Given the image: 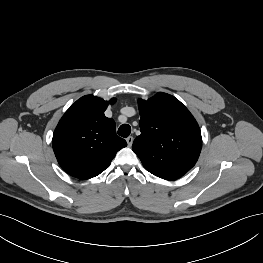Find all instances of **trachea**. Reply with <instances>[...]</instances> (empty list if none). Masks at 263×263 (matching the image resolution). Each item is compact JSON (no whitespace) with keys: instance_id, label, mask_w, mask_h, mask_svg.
Masks as SVG:
<instances>
[{"instance_id":"1","label":"trachea","mask_w":263,"mask_h":263,"mask_svg":"<svg viewBox=\"0 0 263 263\" xmlns=\"http://www.w3.org/2000/svg\"><path fill=\"white\" fill-rule=\"evenodd\" d=\"M131 133V127L130 125L128 124H123L119 127L118 129V134L121 136V137H128Z\"/></svg>"}]
</instances>
